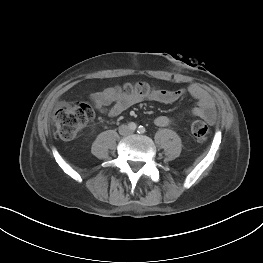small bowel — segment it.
Instances as JSON below:
<instances>
[{"label": "small bowel", "mask_w": 263, "mask_h": 263, "mask_svg": "<svg viewBox=\"0 0 263 263\" xmlns=\"http://www.w3.org/2000/svg\"><path fill=\"white\" fill-rule=\"evenodd\" d=\"M190 94L196 99L197 105L190 113L202 118L208 123L216 120L215 104L210 94L199 84H190L187 88L176 90L159 89L154 90L145 97H140L125 92L107 88L92 95V100L98 110L107 113L109 116H118L129 107L141 102L144 99L159 103L171 104L179 100L185 94ZM173 118L166 115H159L154 123L159 127H166L173 123Z\"/></svg>", "instance_id": "1"}]
</instances>
